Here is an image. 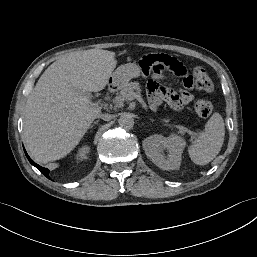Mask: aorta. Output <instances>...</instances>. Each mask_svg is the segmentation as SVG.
<instances>
[{"label": "aorta", "instance_id": "aorta-1", "mask_svg": "<svg viewBox=\"0 0 257 257\" xmlns=\"http://www.w3.org/2000/svg\"><path fill=\"white\" fill-rule=\"evenodd\" d=\"M118 123L124 129H131L134 126V119L130 113H122Z\"/></svg>", "mask_w": 257, "mask_h": 257}]
</instances>
